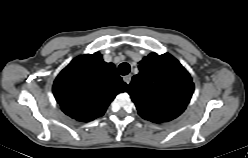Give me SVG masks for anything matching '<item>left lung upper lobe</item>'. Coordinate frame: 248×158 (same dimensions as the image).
<instances>
[{"label":"left lung upper lobe","mask_w":248,"mask_h":158,"mask_svg":"<svg viewBox=\"0 0 248 158\" xmlns=\"http://www.w3.org/2000/svg\"><path fill=\"white\" fill-rule=\"evenodd\" d=\"M139 65L140 72L133 76L127 90L139 115L155 123L178 117L193 94L189 73L169 53H151Z\"/></svg>","instance_id":"left-lung-upper-lobe-1"}]
</instances>
